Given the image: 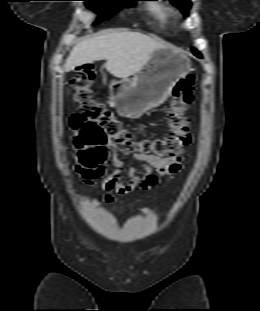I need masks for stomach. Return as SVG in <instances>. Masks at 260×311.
Listing matches in <instances>:
<instances>
[{"label":"stomach","instance_id":"stomach-1","mask_svg":"<svg viewBox=\"0 0 260 311\" xmlns=\"http://www.w3.org/2000/svg\"><path fill=\"white\" fill-rule=\"evenodd\" d=\"M192 68L189 57L180 49H156L131 80H113L110 102L120 116L137 119L160 106L171 95L176 83Z\"/></svg>","mask_w":260,"mask_h":311}]
</instances>
